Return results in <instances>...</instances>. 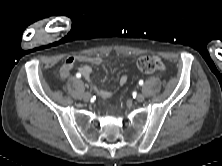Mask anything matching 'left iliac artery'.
I'll return each instance as SVG.
<instances>
[{
    "mask_svg": "<svg viewBox=\"0 0 222 166\" xmlns=\"http://www.w3.org/2000/svg\"><path fill=\"white\" fill-rule=\"evenodd\" d=\"M139 85H143V80H140V81H139Z\"/></svg>",
    "mask_w": 222,
    "mask_h": 166,
    "instance_id": "1",
    "label": "left iliac artery"
}]
</instances>
